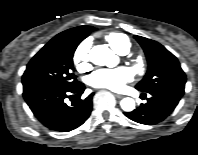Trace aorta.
I'll list each match as a JSON object with an SVG mask.
<instances>
[{
	"label": "aorta",
	"instance_id": "1",
	"mask_svg": "<svg viewBox=\"0 0 198 155\" xmlns=\"http://www.w3.org/2000/svg\"><path fill=\"white\" fill-rule=\"evenodd\" d=\"M90 61L99 66L113 67L117 64V56L105 45L94 46L89 53ZM121 108L126 112L135 109V101L130 97L123 98L120 102Z\"/></svg>",
	"mask_w": 198,
	"mask_h": 155
}]
</instances>
